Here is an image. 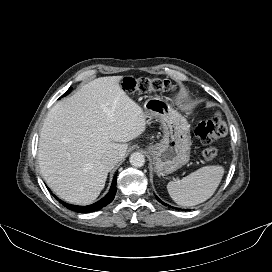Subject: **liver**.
Wrapping results in <instances>:
<instances>
[{
    "label": "liver",
    "instance_id": "obj_1",
    "mask_svg": "<svg viewBox=\"0 0 272 272\" xmlns=\"http://www.w3.org/2000/svg\"><path fill=\"white\" fill-rule=\"evenodd\" d=\"M122 76L97 78L56 103L40 133L38 160L47 185L61 199L86 205L103 190L113 166L103 156L124 158L129 142L146 129L143 109L121 89Z\"/></svg>",
    "mask_w": 272,
    "mask_h": 272
}]
</instances>
